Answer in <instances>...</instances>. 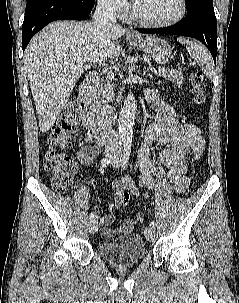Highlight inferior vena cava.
Returning <instances> with one entry per match:
<instances>
[{
	"label": "inferior vena cava",
	"mask_w": 239,
	"mask_h": 303,
	"mask_svg": "<svg viewBox=\"0 0 239 303\" xmlns=\"http://www.w3.org/2000/svg\"><path fill=\"white\" fill-rule=\"evenodd\" d=\"M93 18L95 23L100 26L115 24L116 17L111 0H99ZM106 142V150H118V134L113 130L111 123L106 135Z\"/></svg>",
	"instance_id": "obj_1"
}]
</instances>
